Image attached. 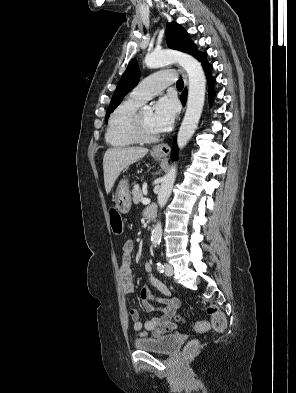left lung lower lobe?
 I'll list each match as a JSON object with an SVG mask.
<instances>
[{
    "instance_id": "1",
    "label": "left lung lower lobe",
    "mask_w": 296,
    "mask_h": 393,
    "mask_svg": "<svg viewBox=\"0 0 296 393\" xmlns=\"http://www.w3.org/2000/svg\"><path fill=\"white\" fill-rule=\"evenodd\" d=\"M198 60L202 63V66L207 74L208 85H209V96H210V99H212V97H213L212 86L215 82L214 78L211 76L212 66L206 60V53H204ZM186 94H187V92L185 90L181 96V101L183 104L186 101ZM176 152H177V145H176V140H174L173 146L171 149V158L173 160H176Z\"/></svg>"
}]
</instances>
